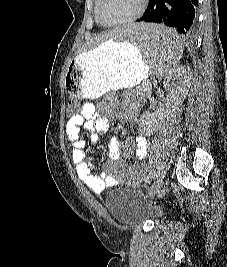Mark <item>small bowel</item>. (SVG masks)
Here are the masks:
<instances>
[{
	"label": "small bowel",
	"instance_id": "1",
	"mask_svg": "<svg viewBox=\"0 0 227 267\" xmlns=\"http://www.w3.org/2000/svg\"><path fill=\"white\" fill-rule=\"evenodd\" d=\"M121 117L128 122H135L139 115V104L125 99L122 101ZM84 127L90 133L92 142L98 136L106 133L110 128V116L107 109H98L88 103L82 106L80 115H71L65 126V137L72 147V160L78 178L96 193L102 192L106 187L115 185L118 180L112 174H98L92 163L86 158V139L81 136L80 128ZM126 147L132 151L137 159H144L148 155L147 139L137 134L126 141ZM109 152L114 161L121 159V142L113 138L109 142Z\"/></svg>",
	"mask_w": 227,
	"mask_h": 267
}]
</instances>
